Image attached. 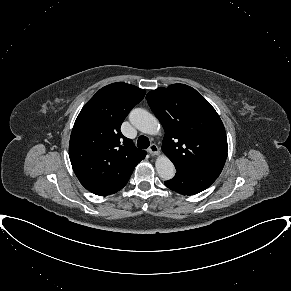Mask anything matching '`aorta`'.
<instances>
[{"mask_svg":"<svg viewBox=\"0 0 291 291\" xmlns=\"http://www.w3.org/2000/svg\"><path fill=\"white\" fill-rule=\"evenodd\" d=\"M129 120L132 125L143 133L153 135L159 132L160 125L158 120L144 109H133L129 114ZM155 167L158 175L164 180H170L175 175V166L165 155H161L156 159Z\"/></svg>","mask_w":291,"mask_h":291,"instance_id":"aorta-1","label":"aorta"}]
</instances>
